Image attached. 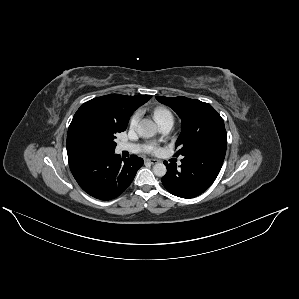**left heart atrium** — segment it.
I'll return each instance as SVG.
<instances>
[{"label":"left heart atrium","mask_w":299,"mask_h":299,"mask_svg":"<svg viewBox=\"0 0 299 299\" xmlns=\"http://www.w3.org/2000/svg\"><path fill=\"white\" fill-rule=\"evenodd\" d=\"M156 151H157V149H156V148H154V149H153V152H156Z\"/></svg>","instance_id":"39dd6f15"}]
</instances>
